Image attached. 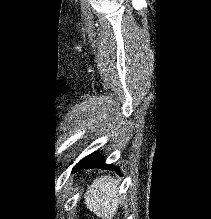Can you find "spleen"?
<instances>
[{"instance_id":"3e777b00","label":"spleen","mask_w":211,"mask_h":219,"mask_svg":"<svg viewBox=\"0 0 211 219\" xmlns=\"http://www.w3.org/2000/svg\"><path fill=\"white\" fill-rule=\"evenodd\" d=\"M87 208L102 219H112L117 212L121 197L118 181L108 177L94 180L85 196Z\"/></svg>"}]
</instances>
